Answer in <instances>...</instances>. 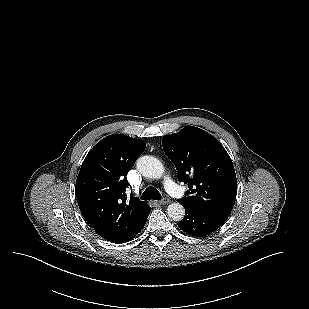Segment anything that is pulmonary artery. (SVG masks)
I'll list each match as a JSON object with an SVG mask.
<instances>
[{"instance_id":"e3ab8cb5","label":"pulmonary artery","mask_w":309,"mask_h":309,"mask_svg":"<svg viewBox=\"0 0 309 309\" xmlns=\"http://www.w3.org/2000/svg\"><path fill=\"white\" fill-rule=\"evenodd\" d=\"M166 186H167L168 192L171 195L180 196V188L175 182L170 180V181H168Z\"/></svg>"}]
</instances>
